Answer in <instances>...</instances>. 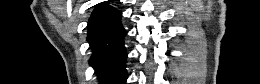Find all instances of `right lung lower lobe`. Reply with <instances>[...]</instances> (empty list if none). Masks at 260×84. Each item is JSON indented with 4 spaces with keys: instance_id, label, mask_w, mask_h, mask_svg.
<instances>
[{
    "instance_id": "98d812e1",
    "label": "right lung lower lobe",
    "mask_w": 260,
    "mask_h": 84,
    "mask_svg": "<svg viewBox=\"0 0 260 84\" xmlns=\"http://www.w3.org/2000/svg\"><path fill=\"white\" fill-rule=\"evenodd\" d=\"M121 12L106 2L100 3L88 21V37L92 56L90 65L101 84H125L126 32L120 22Z\"/></svg>"
}]
</instances>
